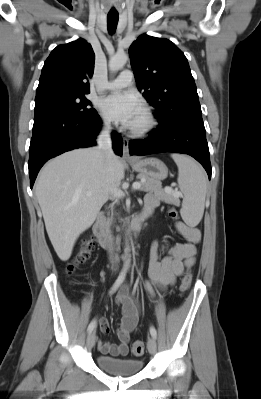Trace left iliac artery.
Returning <instances> with one entry per match:
<instances>
[{
    "instance_id": "44dca946",
    "label": "left iliac artery",
    "mask_w": 261,
    "mask_h": 399,
    "mask_svg": "<svg viewBox=\"0 0 261 399\" xmlns=\"http://www.w3.org/2000/svg\"><path fill=\"white\" fill-rule=\"evenodd\" d=\"M150 333H151L152 337L156 338L157 331L153 326L150 327Z\"/></svg>"
}]
</instances>
